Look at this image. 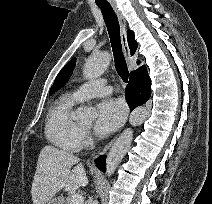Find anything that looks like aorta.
Returning <instances> with one entry per match:
<instances>
[{
  "label": "aorta",
  "instance_id": "aorta-1",
  "mask_svg": "<svg viewBox=\"0 0 212 204\" xmlns=\"http://www.w3.org/2000/svg\"><path fill=\"white\" fill-rule=\"evenodd\" d=\"M111 61L110 54L106 51L91 54L84 67L83 76L87 80H92L100 77L108 68ZM78 118L81 120H91L95 113L93 108L87 106H81L77 111ZM148 117V111L144 107L136 108L130 115L129 122L132 126L141 125ZM133 138V131L131 128L126 129L113 144L108 157L106 174L111 176L123 157L131 147Z\"/></svg>",
  "mask_w": 212,
  "mask_h": 204
}]
</instances>
